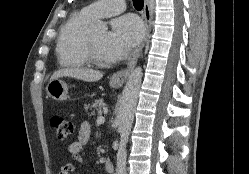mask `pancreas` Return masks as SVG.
Wrapping results in <instances>:
<instances>
[{
	"label": "pancreas",
	"mask_w": 249,
	"mask_h": 174,
	"mask_svg": "<svg viewBox=\"0 0 249 174\" xmlns=\"http://www.w3.org/2000/svg\"><path fill=\"white\" fill-rule=\"evenodd\" d=\"M105 104L102 99H97L91 104H85L84 109L88 111L91 110L90 116L95 115V110L97 111L98 115H101L102 109L104 108Z\"/></svg>",
	"instance_id": "1"
}]
</instances>
